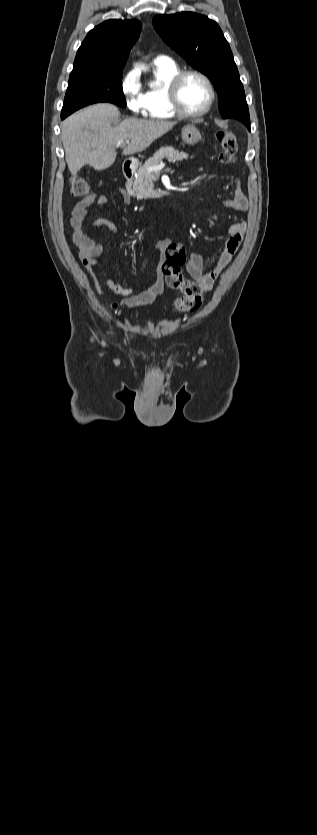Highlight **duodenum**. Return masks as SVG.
I'll return each mask as SVG.
<instances>
[{"label":"duodenum","instance_id":"obj_1","mask_svg":"<svg viewBox=\"0 0 317 835\" xmlns=\"http://www.w3.org/2000/svg\"><path fill=\"white\" fill-rule=\"evenodd\" d=\"M136 171V165L132 161H126L123 165L122 172L126 179L131 178Z\"/></svg>","mask_w":317,"mask_h":835}]
</instances>
